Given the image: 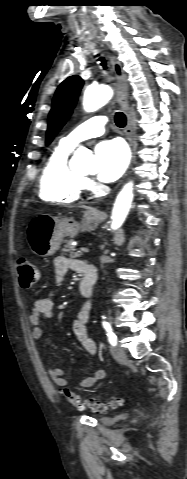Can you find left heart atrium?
Returning <instances> with one entry per match:
<instances>
[{"mask_svg":"<svg viewBox=\"0 0 187 479\" xmlns=\"http://www.w3.org/2000/svg\"><path fill=\"white\" fill-rule=\"evenodd\" d=\"M99 160L98 179L102 182H113L126 169L128 153L124 144L116 139L104 140L95 148Z\"/></svg>","mask_w":187,"mask_h":479,"instance_id":"1","label":"left heart atrium"}]
</instances>
